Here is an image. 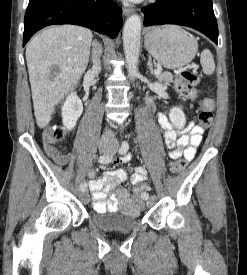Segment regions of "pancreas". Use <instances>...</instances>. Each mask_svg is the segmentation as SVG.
I'll return each instance as SVG.
<instances>
[{
	"label": "pancreas",
	"mask_w": 247,
	"mask_h": 275,
	"mask_svg": "<svg viewBox=\"0 0 247 275\" xmlns=\"http://www.w3.org/2000/svg\"><path fill=\"white\" fill-rule=\"evenodd\" d=\"M157 79L160 81V82H164L166 84H169V83H173L174 82V79H173V75L170 73V72H164L160 75L157 76Z\"/></svg>",
	"instance_id": "1"
}]
</instances>
